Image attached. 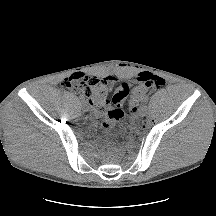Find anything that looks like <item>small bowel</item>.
<instances>
[{
	"mask_svg": "<svg viewBox=\"0 0 216 216\" xmlns=\"http://www.w3.org/2000/svg\"><path fill=\"white\" fill-rule=\"evenodd\" d=\"M84 75L82 74V73H74L71 77H69V78H67V79H65V80H69V79H79V78H82ZM141 76V75H140ZM139 76V77H140ZM110 81H115V80H117V79H115L114 77H112V76H109V78H108ZM66 82V81H65Z\"/></svg>",
	"mask_w": 216,
	"mask_h": 216,
	"instance_id": "1",
	"label": "small bowel"
}]
</instances>
